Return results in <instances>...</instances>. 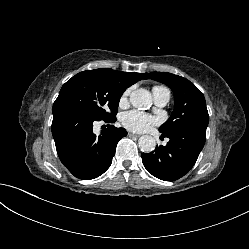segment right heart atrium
I'll return each mask as SVG.
<instances>
[{
  "mask_svg": "<svg viewBox=\"0 0 249 249\" xmlns=\"http://www.w3.org/2000/svg\"><path fill=\"white\" fill-rule=\"evenodd\" d=\"M128 94H129V90L125 91V92L122 94V96H121V98H120V103H121V104L124 103V102L127 100Z\"/></svg>",
  "mask_w": 249,
  "mask_h": 249,
  "instance_id": "1",
  "label": "right heart atrium"
}]
</instances>
